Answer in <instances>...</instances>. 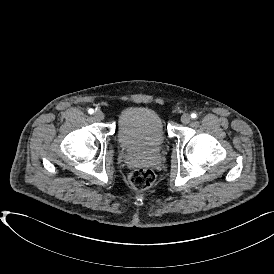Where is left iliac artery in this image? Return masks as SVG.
Wrapping results in <instances>:
<instances>
[{
    "label": "left iliac artery",
    "instance_id": "44dca946",
    "mask_svg": "<svg viewBox=\"0 0 274 274\" xmlns=\"http://www.w3.org/2000/svg\"><path fill=\"white\" fill-rule=\"evenodd\" d=\"M191 117H192L193 119H195V118L197 117V114L192 113V114H191Z\"/></svg>",
    "mask_w": 274,
    "mask_h": 274
}]
</instances>
